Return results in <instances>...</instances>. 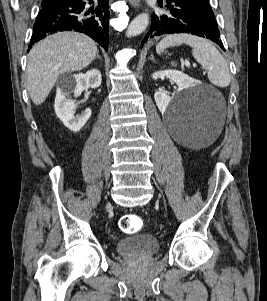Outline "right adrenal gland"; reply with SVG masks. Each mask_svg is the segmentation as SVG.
<instances>
[{"label":"right adrenal gland","instance_id":"1","mask_svg":"<svg viewBox=\"0 0 267 301\" xmlns=\"http://www.w3.org/2000/svg\"><path fill=\"white\" fill-rule=\"evenodd\" d=\"M96 58L101 60V57L99 56V53L97 52Z\"/></svg>","mask_w":267,"mask_h":301}]
</instances>
